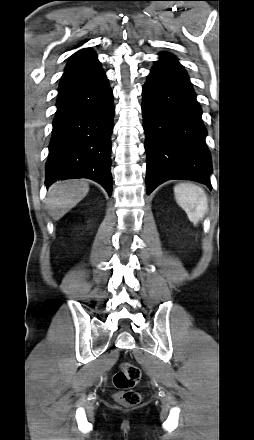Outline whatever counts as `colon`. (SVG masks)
Listing matches in <instances>:
<instances>
[{
    "label": "colon",
    "instance_id": "5ec220e1",
    "mask_svg": "<svg viewBox=\"0 0 254 440\" xmlns=\"http://www.w3.org/2000/svg\"><path fill=\"white\" fill-rule=\"evenodd\" d=\"M141 378L139 368L131 363L123 362L120 369L113 376V384L116 388L115 400L125 406L134 407L141 402L139 392L133 388Z\"/></svg>",
    "mask_w": 254,
    "mask_h": 440
}]
</instances>
